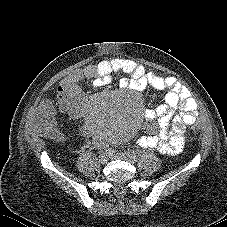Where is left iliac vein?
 <instances>
[{"label":"left iliac vein","instance_id":"left-iliac-vein-1","mask_svg":"<svg viewBox=\"0 0 227 227\" xmlns=\"http://www.w3.org/2000/svg\"><path fill=\"white\" fill-rule=\"evenodd\" d=\"M116 157L118 159H121V160H126L130 163H134L135 162V157L130 154V153H125V152H119L116 154Z\"/></svg>","mask_w":227,"mask_h":227}]
</instances>
